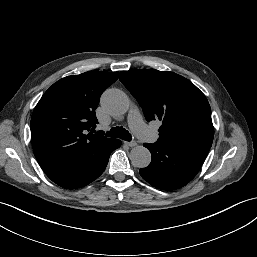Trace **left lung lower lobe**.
Wrapping results in <instances>:
<instances>
[{"label": "left lung lower lobe", "mask_w": 257, "mask_h": 257, "mask_svg": "<svg viewBox=\"0 0 257 257\" xmlns=\"http://www.w3.org/2000/svg\"><path fill=\"white\" fill-rule=\"evenodd\" d=\"M144 146L152 155L148 167L140 169V175L152 186L163 190H175L189 183L200 170L208 146L160 145Z\"/></svg>", "instance_id": "0a47b994"}]
</instances>
